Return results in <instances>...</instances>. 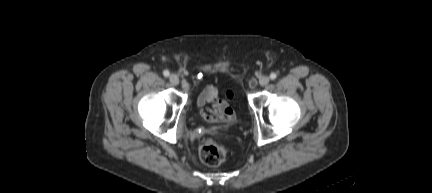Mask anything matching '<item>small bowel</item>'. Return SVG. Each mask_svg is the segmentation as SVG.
<instances>
[{
  "label": "small bowel",
  "mask_w": 432,
  "mask_h": 193,
  "mask_svg": "<svg viewBox=\"0 0 432 193\" xmlns=\"http://www.w3.org/2000/svg\"><path fill=\"white\" fill-rule=\"evenodd\" d=\"M211 105L208 108L207 105ZM197 106L201 108L204 120L210 124H227L235 119V113L225 101L218 97L217 89L209 85L197 98Z\"/></svg>",
  "instance_id": "c3829d8e"
}]
</instances>
